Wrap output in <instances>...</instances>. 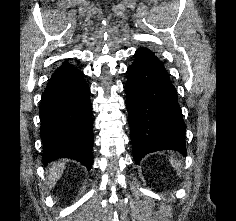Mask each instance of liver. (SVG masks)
Returning a JSON list of instances; mask_svg holds the SVG:
<instances>
[{
  "mask_svg": "<svg viewBox=\"0 0 236 221\" xmlns=\"http://www.w3.org/2000/svg\"><path fill=\"white\" fill-rule=\"evenodd\" d=\"M65 170V162L57 161L51 164L49 171L47 172V186L49 189L53 188L56 182L60 179Z\"/></svg>",
  "mask_w": 236,
  "mask_h": 221,
  "instance_id": "6515ba94",
  "label": "liver"
}]
</instances>
